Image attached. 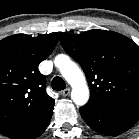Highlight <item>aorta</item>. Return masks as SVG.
<instances>
[{"label":"aorta","mask_w":139,"mask_h":139,"mask_svg":"<svg viewBox=\"0 0 139 139\" xmlns=\"http://www.w3.org/2000/svg\"><path fill=\"white\" fill-rule=\"evenodd\" d=\"M55 65L72 87L71 99L73 102L78 106L85 105L89 100V88L81 69L66 55H58L55 58Z\"/></svg>","instance_id":"1"}]
</instances>
